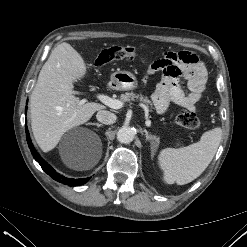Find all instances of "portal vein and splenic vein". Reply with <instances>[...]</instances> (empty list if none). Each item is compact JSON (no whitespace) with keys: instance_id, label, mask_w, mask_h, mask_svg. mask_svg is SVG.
Here are the masks:
<instances>
[{"instance_id":"portal-vein-and-splenic-vein-1","label":"portal vein and splenic vein","mask_w":247,"mask_h":247,"mask_svg":"<svg viewBox=\"0 0 247 247\" xmlns=\"http://www.w3.org/2000/svg\"><path fill=\"white\" fill-rule=\"evenodd\" d=\"M73 93H76L73 91ZM97 98L105 105L109 106L110 108H113V109H120L123 107L124 103L121 101V100H118V99H113L111 97H108L107 95H104V94H98L97 95ZM86 102L85 99H83L81 101V103H84ZM145 116H146V121H145V124L147 127H150L151 126V121L149 120L148 118V111L145 110Z\"/></svg>"}]
</instances>
